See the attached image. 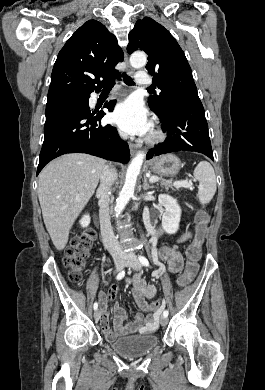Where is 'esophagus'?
<instances>
[{
	"label": "esophagus",
	"mask_w": 265,
	"mask_h": 390,
	"mask_svg": "<svg viewBox=\"0 0 265 390\" xmlns=\"http://www.w3.org/2000/svg\"><path fill=\"white\" fill-rule=\"evenodd\" d=\"M125 62H126V64H127V68H126L127 73H128L129 75H133L134 70H133V68L129 65L127 55H125ZM137 150H138V146L131 143V144H130V151H131V154H132V155L135 154V153L137 152Z\"/></svg>",
	"instance_id": "esophagus-1"
}]
</instances>
